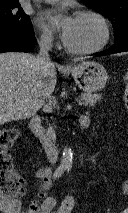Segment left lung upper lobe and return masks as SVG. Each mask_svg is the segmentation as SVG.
Listing matches in <instances>:
<instances>
[{
	"label": "left lung upper lobe",
	"mask_w": 128,
	"mask_h": 213,
	"mask_svg": "<svg viewBox=\"0 0 128 213\" xmlns=\"http://www.w3.org/2000/svg\"><path fill=\"white\" fill-rule=\"evenodd\" d=\"M83 3L106 16L115 30V42L128 36V0H82Z\"/></svg>",
	"instance_id": "obj_1"
}]
</instances>
